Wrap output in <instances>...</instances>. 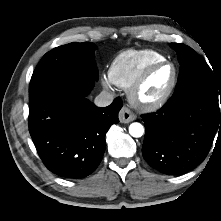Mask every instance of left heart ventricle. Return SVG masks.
<instances>
[{"mask_svg":"<svg viewBox=\"0 0 221 221\" xmlns=\"http://www.w3.org/2000/svg\"><path fill=\"white\" fill-rule=\"evenodd\" d=\"M172 72L171 66L168 65L157 68L142 87L140 98L143 101H151L159 97L169 85Z\"/></svg>","mask_w":221,"mask_h":221,"instance_id":"left-heart-ventricle-1","label":"left heart ventricle"}]
</instances>
